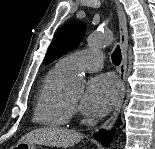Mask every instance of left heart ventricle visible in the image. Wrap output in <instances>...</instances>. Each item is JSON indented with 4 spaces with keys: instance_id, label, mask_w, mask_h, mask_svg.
Listing matches in <instances>:
<instances>
[{
    "instance_id": "left-heart-ventricle-1",
    "label": "left heart ventricle",
    "mask_w": 155,
    "mask_h": 149,
    "mask_svg": "<svg viewBox=\"0 0 155 149\" xmlns=\"http://www.w3.org/2000/svg\"><path fill=\"white\" fill-rule=\"evenodd\" d=\"M80 97H81V94H77V95L69 96L68 100L71 101L72 103L76 104V103H78Z\"/></svg>"
}]
</instances>
